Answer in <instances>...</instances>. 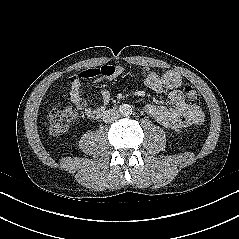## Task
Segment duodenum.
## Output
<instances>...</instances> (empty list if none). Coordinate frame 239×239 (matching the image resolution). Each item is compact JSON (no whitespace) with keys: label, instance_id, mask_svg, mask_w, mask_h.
I'll return each instance as SVG.
<instances>
[{"label":"duodenum","instance_id":"duodenum-1","mask_svg":"<svg viewBox=\"0 0 239 239\" xmlns=\"http://www.w3.org/2000/svg\"><path fill=\"white\" fill-rule=\"evenodd\" d=\"M103 113H104L103 110H98V111L95 112L94 116H95V117H99V116H101Z\"/></svg>","mask_w":239,"mask_h":239}]
</instances>
